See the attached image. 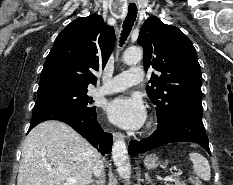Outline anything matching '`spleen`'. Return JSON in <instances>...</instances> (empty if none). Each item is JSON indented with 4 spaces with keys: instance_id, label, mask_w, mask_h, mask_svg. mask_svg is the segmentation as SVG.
Returning <instances> with one entry per match:
<instances>
[{
    "instance_id": "spleen-1",
    "label": "spleen",
    "mask_w": 233,
    "mask_h": 185,
    "mask_svg": "<svg viewBox=\"0 0 233 185\" xmlns=\"http://www.w3.org/2000/svg\"><path fill=\"white\" fill-rule=\"evenodd\" d=\"M189 156L196 175L204 181H209L211 178V169L208 160L197 152H191Z\"/></svg>"
}]
</instances>
